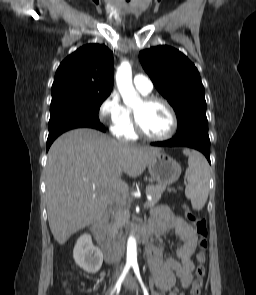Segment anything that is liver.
Wrapping results in <instances>:
<instances>
[{
    "instance_id": "liver-1",
    "label": "liver",
    "mask_w": 256,
    "mask_h": 295,
    "mask_svg": "<svg viewBox=\"0 0 256 295\" xmlns=\"http://www.w3.org/2000/svg\"><path fill=\"white\" fill-rule=\"evenodd\" d=\"M161 150L131 146L93 129H76L55 140L45 171L51 232L59 245L100 220L114 192L128 185L121 173L137 177Z\"/></svg>"
}]
</instances>
